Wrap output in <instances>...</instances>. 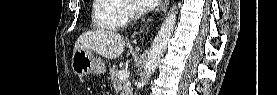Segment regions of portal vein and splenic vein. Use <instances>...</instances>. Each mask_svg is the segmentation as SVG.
I'll use <instances>...</instances> for the list:
<instances>
[{
  "label": "portal vein and splenic vein",
  "mask_w": 277,
  "mask_h": 95,
  "mask_svg": "<svg viewBox=\"0 0 277 95\" xmlns=\"http://www.w3.org/2000/svg\"><path fill=\"white\" fill-rule=\"evenodd\" d=\"M117 78L119 80L128 79L129 78V71L128 70H121L120 72H118Z\"/></svg>",
  "instance_id": "18ae733b"
}]
</instances>
